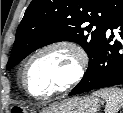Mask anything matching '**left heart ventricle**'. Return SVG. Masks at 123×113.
I'll use <instances>...</instances> for the list:
<instances>
[{"instance_id": "left-heart-ventricle-1", "label": "left heart ventricle", "mask_w": 123, "mask_h": 113, "mask_svg": "<svg viewBox=\"0 0 123 113\" xmlns=\"http://www.w3.org/2000/svg\"><path fill=\"white\" fill-rule=\"evenodd\" d=\"M73 71V58L65 51L47 52L29 66L26 85L32 93L43 94L61 84Z\"/></svg>"}]
</instances>
